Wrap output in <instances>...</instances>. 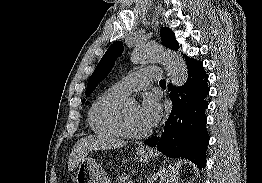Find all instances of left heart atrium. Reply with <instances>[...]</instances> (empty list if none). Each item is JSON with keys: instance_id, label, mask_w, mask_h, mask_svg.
I'll return each instance as SVG.
<instances>
[{"instance_id": "39dd6f15", "label": "left heart atrium", "mask_w": 262, "mask_h": 183, "mask_svg": "<svg viewBox=\"0 0 262 183\" xmlns=\"http://www.w3.org/2000/svg\"><path fill=\"white\" fill-rule=\"evenodd\" d=\"M138 111L142 123L148 129L154 127L161 116V109L157 100L149 94L143 97L141 104L138 106Z\"/></svg>"}]
</instances>
